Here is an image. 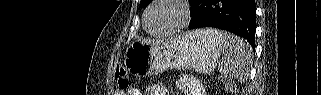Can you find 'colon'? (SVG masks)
Returning <instances> with one entry per match:
<instances>
[{
    "label": "colon",
    "instance_id": "obj_1",
    "mask_svg": "<svg viewBox=\"0 0 321 95\" xmlns=\"http://www.w3.org/2000/svg\"><path fill=\"white\" fill-rule=\"evenodd\" d=\"M115 78L118 86L121 89H126L129 86V76L126 69L122 66H117L115 70Z\"/></svg>",
    "mask_w": 321,
    "mask_h": 95
}]
</instances>
